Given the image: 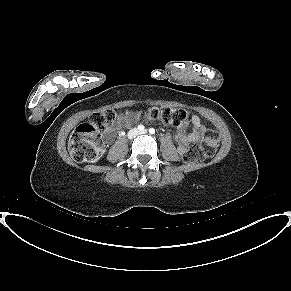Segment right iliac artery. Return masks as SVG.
I'll return each mask as SVG.
<instances>
[{
    "label": "right iliac artery",
    "mask_w": 291,
    "mask_h": 291,
    "mask_svg": "<svg viewBox=\"0 0 291 291\" xmlns=\"http://www.w3.org/2000/svg\"><path fill=\"white\" fill-rule=\"evenodd\" d=\"M138 130H140V131L144 130V126L143 125H138Z\"/></svg>",
    "instance_id": "right-iliac-artery-1"
}]
</instances>
